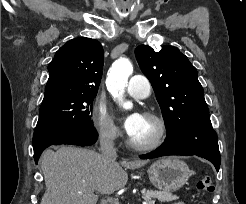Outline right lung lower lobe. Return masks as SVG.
Segmentation results:
<instances>
[{
    "label": "right lung lower lobe",
    "mask_w": 246,
    "mask_h": 204,
    "mask_svg": "<svg viewBox=\"0 0 246 204\" xmlns=\"http://www.w3.org/2000/svg\"><path fill=\"white\" fill-rule=\"evenodd\" d=\"M97 136L94 127L76 128L55 136H40L33 141L34 160L37 163L41 153L50 145L72 144L89 146L96 142Z\"/></svg>",
    "instance_id": "obj_1"
}]
</instances>
